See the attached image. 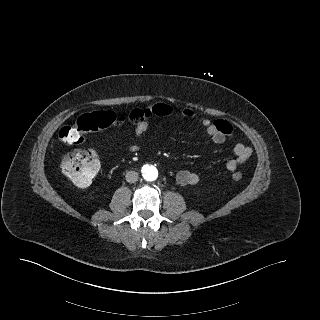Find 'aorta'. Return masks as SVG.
<instances>
[{
    "label": "aorta",
    "mask_w": 320,
    "mask_h": 320,
    "mask_svg": "<svg viewBox=\"0 0 320 320\" xmlns=\"http://www.w3.org/2000/svg\"><path fill=\"white\" fill-rule=\"evenodd\" d=\"M143 177L147 181H154L158 177V171L154 166L146 165L142 169Z\"/></svg>",
    "instance_id": "1"
}]
</instances>
